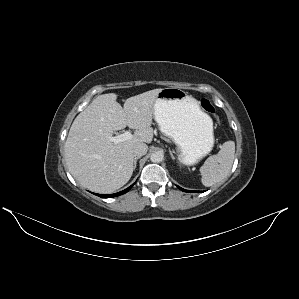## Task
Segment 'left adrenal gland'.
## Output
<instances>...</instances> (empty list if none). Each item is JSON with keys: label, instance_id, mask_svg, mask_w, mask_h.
Masks as SVG:
<instances>
[{"label": "left adrenal gland", "instance_id": "a2214340", "mask_svg": "<svg viewBox=\"0 0 299 299\" xmlns=\"http://www.w3.org/2000/svg\"><path fill=\"white\" fill-rule=\"evenodd\" d=\"M169 152H170V156H171V158L174 160V159H175V157H174V155H173L172 151H171V150H169Z\"/></svg>", "mask_w": 299, "mask_h": 299}]
</instances>
